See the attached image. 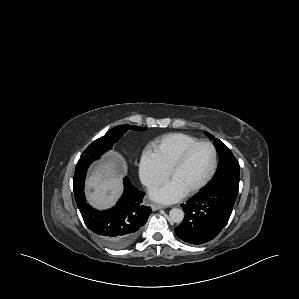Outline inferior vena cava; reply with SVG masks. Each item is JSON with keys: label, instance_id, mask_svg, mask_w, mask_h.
Segmentation results:
<instances>
[{"label": "inferior vena cava", "instance_id": "obj_1", "mask_svg": "<svg viewBox=\"0 0 299 299\" xmlns=\"http://www.w3.org/2000/svg\"><path fill=\"white\" fill-rule=\"evenodd\" d=\"M146 184H147V186H153L154 185V183H151V182H148Z\"/></svg>", "mask_w": 299, "mask_h": 299}]
</instances>
